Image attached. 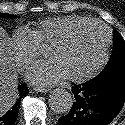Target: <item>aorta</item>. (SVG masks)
<instances>
[{
	"label": "aorta",
	"mask_w": 125,
	"mask_h": 125,
	"mask_svg": "<svg viewBox=\"0 0 125 125\" xmlns=\"http://www.w3.org/2000/svg\"><path fill=\"white\" fill-rule=\"evenodd\" d=\"M74 102L73 95L62 88L55 89L49 96L48 103L52 111L65 114L70 111Z\"/></svg>",
	"instance_id": "aorta-1"
}]
</instances>
